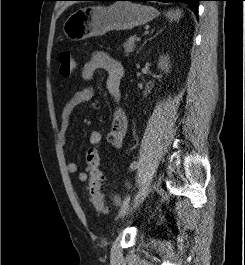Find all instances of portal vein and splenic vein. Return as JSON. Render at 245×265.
I'll return each instance as SVG.
<instances>
[{"mask_svg":"<svg viewBox=\"0 0 245 265\" xmlns=\"http://www.w3.org/2000/svg\"><path fill=\"white\" fill-rule=\"evenodd\" d=\"M136 41H137V42H140V41H141V38H140V37H138V38L136 39Z\"/></svg>","mask_w":245,"mask_h":265,"instance_id":"portal-vein-and-splenic-vein-1","label":"portal vein and splenic vein"}]
</instances>
